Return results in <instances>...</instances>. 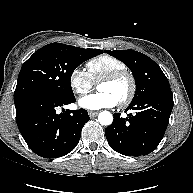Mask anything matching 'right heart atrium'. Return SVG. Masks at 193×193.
Returning <instances> with one entry per match:
<instances>
[{
	"mask_svg": "<svg viewBox=\"0 0 193 193\" xmlns=\"http://www.w3.org/2000/svg\"><path fill=\"white\" fill-rule=\"evenodd\" d=\"M68 81L70 88L77 95H84L95 86L88 72L80 67L71 70Z\"/></svg>",
	"mask_w": 193,
	"mask_h": 193,
	"instance_id": "right-heart-atrium-1",
	"label": "right heart atrium"
}]
</instances>
